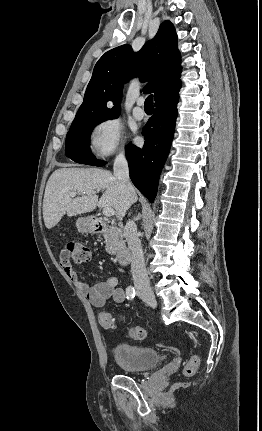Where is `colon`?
Returning <instances> with one entry per match:
<instances>
[{
    "label": "colon",
    "mask_w": 262,
    "mask_h": 431,
    "mask_svg": "<svg viewBox=\"0 0 262 431\" xmlns=\"http://www.w3.org/2000/svg\"><path fill=\"white\" fill-rule=\"evenodd\" d=\"M92 258L91 248L79 241L68 242L63 251L62 261L67 264H81L89 261ZM99 323L105 330H111L115 326L114 318L108 312L99 314ZM128 337L133 340H144L147 337L146 330L141 326H131L127 331ZM200 365V357L197 353H193L187 360L183 373L185 376H193Z\"/></svg>",
    "instance_id": "5ec220e1"
}]
</instances>
